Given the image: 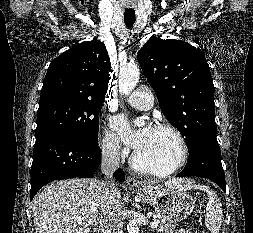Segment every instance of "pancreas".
Returning <instances> with one entry per match:
<instances>
[{"instance_id": "obj_1", "label": "pancreas", "mask_w": 253, "mask_h": 233, "mask_svg": "<svg viewBox=\"0 0 253 233\" xmlns=\"http://www.w3.org/2000/svg\"><path fill=\"white\" fill-rule=\"evenodd\" d=\"M156 223L159 225L156 229L158 233H174V230L176 228L175 224H161L159 221H156Z\"/></svg>"}]
</instances>
